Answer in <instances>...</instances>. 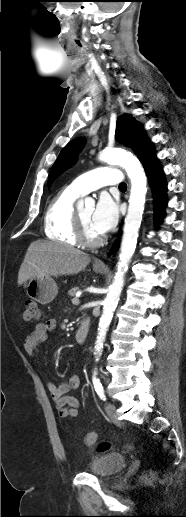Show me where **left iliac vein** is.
<instances>
[{"instance_id": "obj_1", "label": "left iliac vein", "mask_w": 186, "mask_h": 517, "mask_svg": "<svg viewBox=\"0 0 186 517\" xmlns=\"http://www.w3.org/2000/svg\"><path fill=\"white\" fill-rule=\"evenodd\" d=\"M105 411L111 420H113L114 422L118 421V413L116 411V406L114 404L107 403L105 405Z\"/></svg>"}]
</instances>
